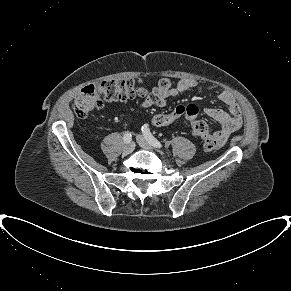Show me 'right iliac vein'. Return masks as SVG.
Here are the masks:
<instances>
[{
	"label": "right iliac vein",
	"mask_w": 291,
	"mask_h": 291,
	"mask_svg": "<svg viewBox=\"0 0 291 291\" xmlns=\"http://www.w3.org/2000/svg\"><path fill=\"white\" fill-rule=\"evenodd\" d=\"M134 149H135V144L133 142L128 143L123 148V154L128 155L132 153Z\"/></svg>",
	"instance_id": "obj_1"
}]
</instances>
